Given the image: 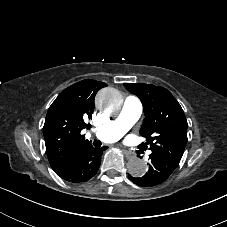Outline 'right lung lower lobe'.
Listing matches in <instances>:
<instances>
[{
	"label": "right lung lower lobe",
	"mask_w": 227,
	"mask_h": 227,
	"mask_svg": "<svg viewBox=\"0 0 227 227\" xmlns=\"http://www.w3.org/2000/svg\"><path fill=\"white\" fill-rule=\"evenodd\" d=\"M103 149L89 145L73 155L58 176L73 183L85 182L98 171Z\"/></svg>",
	"instance_id": "obj_1"
}]
</instances>
